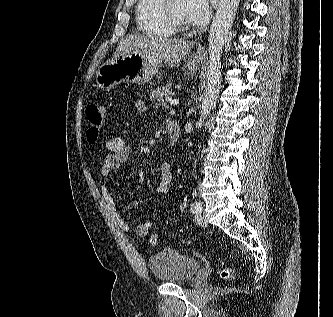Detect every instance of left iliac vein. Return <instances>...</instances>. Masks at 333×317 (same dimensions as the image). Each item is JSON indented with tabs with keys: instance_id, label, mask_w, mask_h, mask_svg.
Instances as JSON below:
<instances>
[{
	"instance_id": "left-iliac-vein-1",
	"label": "left iliac vein",
	"mask_w": 333,
	"mask_h": 317,
	"mask_svg": "<svg viewBox=\"0 0 333 317\" xmlns=\"http://www.w3.org/2000/svg\"><path fill=\"white\" fill-rule=\"evenodd\" d=\"M202 209H203V205L201 204V211H198L195 213V222L199 226L206 227L208 222H207L206 217L202 213Z\"/></svg>"
}]
</instances>
